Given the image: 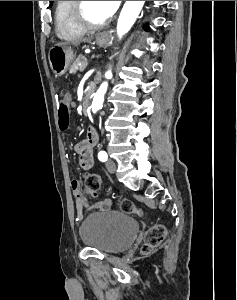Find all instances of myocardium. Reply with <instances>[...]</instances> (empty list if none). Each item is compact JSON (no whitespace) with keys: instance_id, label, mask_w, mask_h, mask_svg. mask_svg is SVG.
<instances>
[{"instance_id":"obj_1","label":"myocardium","mask_w":237,"mask_h":300,"mask_svg":"<svg viewBox=\"0 0 237 300\" xmlns=\"http://www.w3.org/2000/svg\"><path fill=\"white\" fill-rule=\"evenodd\" d=\"M84 3V1H73L72 3L71 16L77 26L84 30H97L111 23L112 17L99 23L90 21L85 14Z\"/></svg>"}]
</instances>
